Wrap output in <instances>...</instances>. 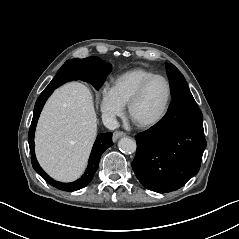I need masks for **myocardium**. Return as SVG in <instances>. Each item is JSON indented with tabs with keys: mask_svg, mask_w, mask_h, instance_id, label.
<instances>
[{
	"mask_svg": "<svg viewBox=\"0 0 239 239\" xmlns=\"http://www.w3.org/2000/svg\"><path fill=\"white\" fill-rule=\"evenodd\" d=\"M157 79H162L166 82L167 87H168V97H167V101L165 104V107L162 111V113L155 118L152 121H140L138 119H136L135 115H134V110L135 107L137 106V104L139 103V101L141 100L143 94L145 93L146 89L149 87V85L157 80ZM172 99H173V87H172V83L171 81L164 75L161 74H156L153 75L151 77H149L148 79H146L141 85L140 87L137 89V91L135 92V94L132 96L129 104H128V114L130 119L132 120V122L139 128L141 129H150V128H154L156 126H158L161 122L164 121V119L167 117L170 108H171V104H172Z\"/></svg>",
	"mask_w": 239,
	"mask_h": 239,
	"instance_id": "f54148a6",
	"label": "myocardium"
}]
</instances>
